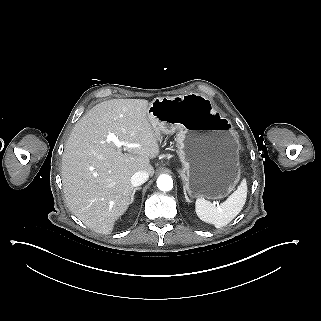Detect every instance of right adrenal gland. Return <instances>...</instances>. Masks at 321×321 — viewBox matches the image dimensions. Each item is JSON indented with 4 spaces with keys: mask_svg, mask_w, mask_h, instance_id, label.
Here are the masks:
<instances>
[{
    "mask_svg": "<svg viewBox=\"0 0 321 321\" xmlns=\"http://www.w3.org/2000/svg\"><path fill=\"white\" fill-rule=\"evenodd\" d=\"M142 188L141 187H136L133 189V192L131 194V198H130V204L134 201V195L136 193L137 190H141Z\"/></svg>",
    "mask_w": 321,
    "mask_h": 321,
    "instance_id": "right-adrenal-gland-1",
    "label": "right adrenal gland"
}]
</instances>
